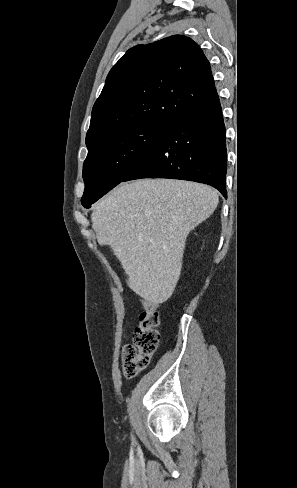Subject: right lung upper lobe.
I'll return each instance as SVG.
<instances>
[{
	"label": "right lung upper lobe",
	"mask_w": 297,
	"mask_h": 488,
	"mask_svg": "<svg viewBox=\"0 0 297 488\" xmlns=\"http://www.w3.org/2000/svg\"><path fill=\"white\" fill-rule=\"evenodd\" d=\"M218 97L209 61L192 39L173 35L129 49L96 100L87 148L128 126L172 124Z\"/></svg>",
	"instance_id": "right-lung-upper-lobe-1"
}]
</instances>
